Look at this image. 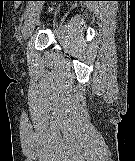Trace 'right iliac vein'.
I'll return each mask as SVG.
<instances>
[{
    "label": "right iliac vein",
    "mask_w": 135,
    "mask_h": 161,
    "mask_svg": "<svg viewBox=\"0 0 135 161\" xmlns=\"http://www.w3.org/2000/svg\"><path fill=\"white\" fill-rule=\"evenodd\" d=\"M41 10H42V4L38 3L33 6L30 16L26 20L24 28L22 30V36L25 40H27L31 35V33L33 32L35 24L41 13Z\"/></svg>",
    "instance_id": "63e3f726"
}]
</instances>
